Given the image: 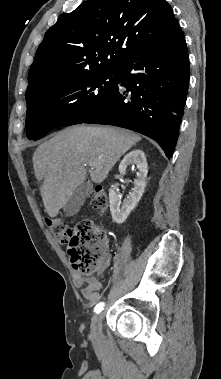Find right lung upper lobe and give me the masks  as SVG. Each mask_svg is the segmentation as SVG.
<instances>
[{"label":"right lung upper lobe","instance_id":"1","mask_svg":"<svg viewBox=\"0 0 221 379\" xmlns=\"http://www.w3.org/2000/svg\"><path fill=\"white\" fill-rule=\"evenodd\" d=\"M178 28L166 0L84 1L47 30L29 71L26 101L52 85L118 69Z\"/></svg>","mask_w":221,"mask_h":379}]
</instances>
